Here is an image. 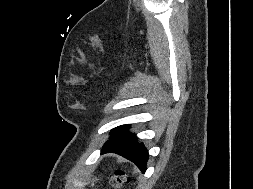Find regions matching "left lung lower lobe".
<instances>
[{"instance_id": "1", "label": "left lung lower lobe", "mask_w": 253, "mask_h": 189, "mask_svg": "<svg viewBox=\"0 0 253 189\" xmlns=\"http://www.w3.org/2000/svg\"><path fill=\"white\" fill-rule=\"evenodd\" d=\"M129 125H122L112 130L110 140L105 143L101 150L104 153H117L134 162L142 171H146L148 151L142 143H137L136 136L128 133Z\"/></svg>"}]
</instances>
